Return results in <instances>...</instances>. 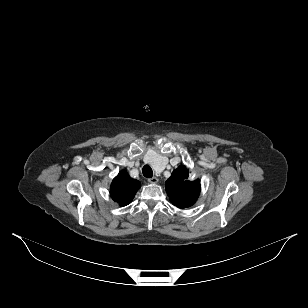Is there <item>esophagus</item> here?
<instances>
[{
    "label": "esophagus",
    "mask_w": 308,
    "mask_h": 308,
    "mask_svg": "<svg viewBox=\"0 0 308 308\" xmlns=\"http://www.w3.org/2000/svg\"><path fill=\"white\" fill-rule=\"evenodd\" d=\"M148 181H149L150 183H152V184H156V183H158L159 180H158L157 177H152V178H149Z\"/></svg>",
    "instance_id": "34e87169"
}]
</instances>
